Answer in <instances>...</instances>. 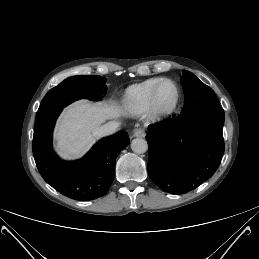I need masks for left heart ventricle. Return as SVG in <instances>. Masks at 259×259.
I'll use <instances>...</instances> for the list:
<instances>
[{
  "mask_svg": "<svg viewBox=\"0 0 259 259\" xmlns=\"http://www.w3.org/2000/svg\"><path fill=\"white\" fill-rule=\"evenodd\" d=\"M175 98V90L172 85L164 84L158 92V103L162 107L170 106Z\"/></svg>",
  "mask_w": 259,
  "mask_h": 259,
  "instance_id": "left-heart-ventricle-1",
  "label": "left heart ventricle"
}]
</instances>
